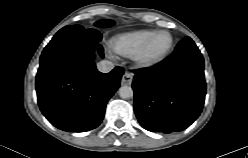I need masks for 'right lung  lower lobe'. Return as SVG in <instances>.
<instances>
[{"instance_id": "1", "label": "right lung lower lobe", "mask_w": 248, "mask_h": 158, "mask_svg": "<svg viewBox=\"0 0 248 158\" xmlns=\"http://www.w3.org/2000/svg\"><path fill=\"white\" fill-rule=\"evenodd\" d=\"M96 29L59 31L44 48L36 75L38 104L55 127L69 132L96 128L108 100L120 86L123 68L103 74L94 64V50L103 57Z\"/></svg>"}]
</instances>
